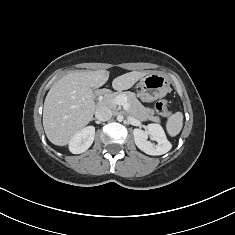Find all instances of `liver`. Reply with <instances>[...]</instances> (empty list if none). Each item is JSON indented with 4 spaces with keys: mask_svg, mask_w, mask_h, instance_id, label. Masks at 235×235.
Here are the masks:
<instances>
[{
    "mask_svg": "<svg viewBox=\"0 0 235 235\" xmlns=\"http://www.w3.org/2000/svg\"><path fill=\"white\" fill-rule=\"evenodd\" d=\"M146 75L139 71L125 73L113 80L112 87L127 90ZM108 78L107 70L70 72L50 88L44 101L43 127L51 143L67 145L93 119V88L103 86Z\"/></svg>",
    "mask_w": 235,
    "mask_h": 235,
    "instance_id": "liver-1",
    "label": "liver"
}]
</instances>
